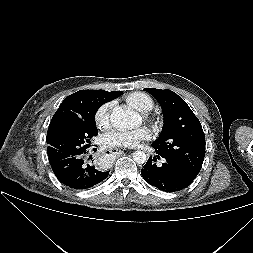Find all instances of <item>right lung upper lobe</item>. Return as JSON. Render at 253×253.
<instances>
[{"label":"right lung upper lobe","mask_w":253,"mask_h":253,"mask_svg":"<svg viewBox=\"0 0 253 253\" xmlns=\"http://www.w3.org/2000/svg\"><path fill=\"white\" fill-rule=\"evenodd\" d=\"M123 92L105 90H80L66 97L58 110L54 114L48 131L47 137L51 135L56 128L64 123L72 122L80 118L87 109L91 100H97L102 104L121 96Z\"/></svg>","instance_id":"right-lung-upper-lobe-1"}]
</instances>
